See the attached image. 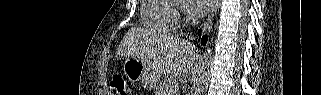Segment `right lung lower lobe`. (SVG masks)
Here are the masks:
<instances>
[{
	"mask_svg": "<svg viewBox=\"0 0 321 95\" xmlns=\"http://www.w3.org/2000/svg\"><path fill=\"white\" fill-rule=\"evenodd\" d=\"M207 40H208V37H207V36H203V38H202V40H201V44H202V45H205L206 42H207Z\"/></svg>",
	"mask_w": 321,
	"mask_h": 95,
	"instance_id": "right-lung-lower-lobe-1",
	"label": "right lung lower lobe"
}]
</instances>
